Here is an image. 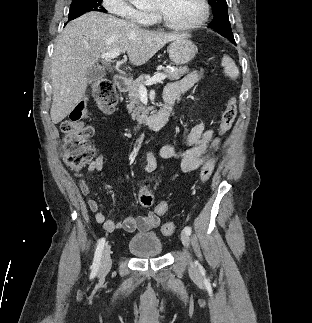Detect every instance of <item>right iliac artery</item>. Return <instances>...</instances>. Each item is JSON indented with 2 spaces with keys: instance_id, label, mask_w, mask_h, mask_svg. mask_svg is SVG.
Listing matches in <instances>:
<instances>
[{
  "instance_id": "right-iliac-artery-1",
  "label": "right iliac artery",
  "mask_w": 312,
  "mask_h": 323,
  "mask_svg": "<svg viewBox=\"0 0 312 323\" xmlns=\"http://www.w3.org/2000/svg\"><path fill=\"white\" fill-rule=\"evenodd\" d=\"M104 245H105V238H102L99 240L96 251H95V256H94V261H93V271L97 272L99 266H100V261H101V256H102V252L104 249Z\"/></svg>"
}]
</instances>
